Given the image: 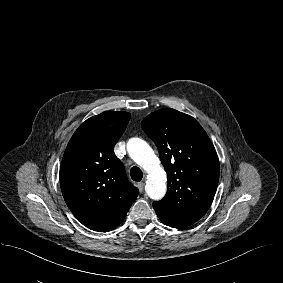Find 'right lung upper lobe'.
Here are the masks:
<instances>
[{"mask_svg": "<svg viewBox=\"0 0 283 283\" xmlns=\"http://www.w3.org/2000/svg\"><path fill=\"white\" fill-rule=\"evenodd\" d=\"M129 119L128 112L115 111L87 119L73 134L62 159L64 200L74 216L95 231L118 226L138 195L114 153Z\"/></svg>", "mask_w": 283, "mask_h": 283, "instance_id": "right-lung-upper-lobe-1", "label": "right lung upper lobe"}]
</instances>
